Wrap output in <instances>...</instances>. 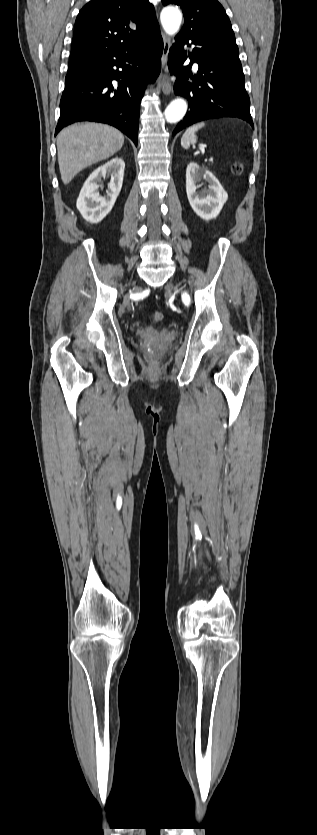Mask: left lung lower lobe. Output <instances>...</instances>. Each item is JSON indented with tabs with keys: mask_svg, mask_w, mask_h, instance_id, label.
Returning <instances> with one entry per match:
<instances>
[{
	"mask_svg": "<svg viewBox=\"0 0 317 835\" xmlns=\"http://www.w3.org/2000/svg\"><path fill=\"white\" fill-rule=\"evenodd\" d=\"M175 40L168 66L171 74L177 75L174 92L188 99L190 112L178 123L173 135L193 123L220 117L239 118L254 128L238 47L210 36ZM184 44L195 47L187 53ZM188 56L192 62L183 66ZM193 62L199 69L192 77ZM189 78L192 82L186 81Z\"/></svg>",
	"mask_w": 317,
	"mask_h": 835,
	"instance_id": "0a47b994",
	"label": "left lung lower lobe"
}]
</instances>
